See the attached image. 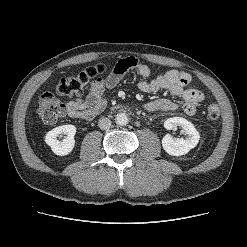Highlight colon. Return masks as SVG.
I'll return each mask as SVG.
<instances>
[{"mask_svg":"<svg viewBox=\"0 0 247 247\" xmlns=\"http://www.w3.org/2000/svg\"><path fill=\"white\" fill-rule=\"evenodd\" d=\"M129 64L118 62L114 69L124 71ZM107 71L105 64H97L66 78L56 85L54 92H46L41 95L38 104V115L42 121L48 124L57 122L65 115V106L58 98L61 96H80L87 90L98 77ZM220 116L219 107L214 103L207 104L205 117L210 121H216Z\"/></svg>","mask_w":247,"mask_h":247,"instance_id":"1","label":"colon"}]
</instances>
